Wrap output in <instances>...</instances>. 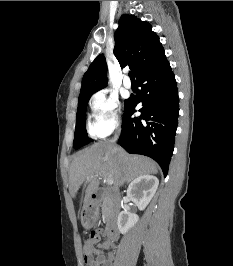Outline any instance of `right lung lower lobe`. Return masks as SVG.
Wrapping results in <instances>:
<instances>
[{
	"label": "right lung lower lobe",
	"instance_id": "98d812e1",
	"mask_svg": "<svg viewBox=\"0 0 233 266\" xmlns=\"http://www.w3.org/2000/svg\"><path fill=\"white\" fill-rule=\"evenodd\" d=\"M142 88L125 101L119 144L129 153L153 158L166 177L173 155L179 99L174 73L165 55L137 77ZM142 102L139 118L132 117Z\"/></svg>",
	"mask_w": 233,
	"mask_h": 266
}]
</instances>
